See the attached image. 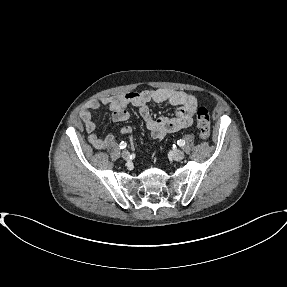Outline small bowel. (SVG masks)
<instances>
[{
	"label": "small bowel",
	"mask_w": 287,
	"mask_h": 287,
	"mask_svg": "<svg viewBox=\"0 0 287 287\" xmlns=\"http://www.w3.org/2000/svg\"><path fill=\"white\" fill-rule=\"evenodd\" d=\"M150 102H167L178 108L171 118L165 116L153 117L147 106ZM129 106L138 107L139 113L146 122L152 136L156 139H163L167 134L178 132L192 125L197 100L188 92L174 89L143 90L94 99L80 111V118L88 133V141L94 148L104 149L109 147L114 142V135L109 133L101 137L96 132L92 111L102 107L108 108L112 113L113 121L122 122L130 118L127 110ZM131 132L130 126H123L120 129V133L124 135L131 134Z\"/></svg>",
	"instance_id": "1"
}]
</instances>
